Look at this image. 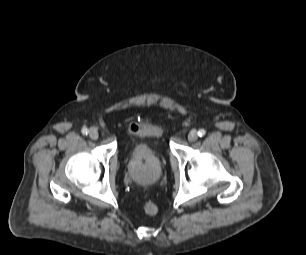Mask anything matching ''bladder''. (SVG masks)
Instances as JSON below:
<instances>
[{
	"label": "bladder",
	"mask_w": 306,
	"mask_h": 255,
	"mask_svg": "<svg viewBox=\"0 0 306 255\" xmlns=\"http://www.w3.org/2000/svg\"><path fill=\"white\" fill-rule=\"evenodd\" d=\"M125 147L130 162L156 163L163 156V129L153 123L138 124L127 134Z\"/></svg>",
	"instance_id": "1"
}]
</instances>
